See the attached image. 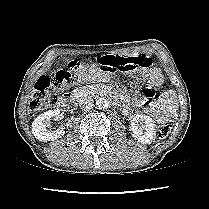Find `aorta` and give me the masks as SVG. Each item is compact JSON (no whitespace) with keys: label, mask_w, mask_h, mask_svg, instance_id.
Segmentation results:
<instances>
[{"label":"aorta","mask_w":209,"mask_h":209,"mask_svg":"<svg viewBox=\"0 0 209 209\" xmlns=\"http://www.w3.org/2000/svg\"><path fill=\"white\" fill-rule=\"evenodd\" d=\"M96 104L98 106L99 109H107L109 108L110 104H109V101L107 98H104V97H100L96 100Z\"/></svg>","instance_id":"762f6f07"}]
</instances>
